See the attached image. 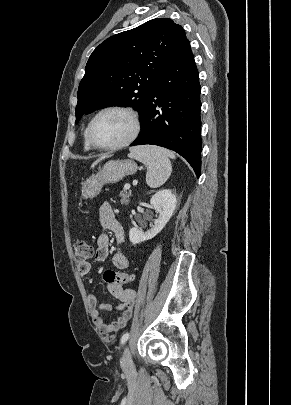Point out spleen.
<instances>
[{
  "mask_svg": "<svg viewBox=\"0 0 291 405\" xmlns=\"http://www.w3.org/2000/svg\"><path fill=\"white\" fill-rule=\"evenodd\" d=\"M129 157L147 166L146 182L151 188L163 185L172 172L171 159L175 155L157 146H138L130 150Z\"/></svg>",
  "mask_w": 291,
  "mask_h": 405,
  "instance_id": "3e777b00",
  "label": "spleen"
}]
</instances>
